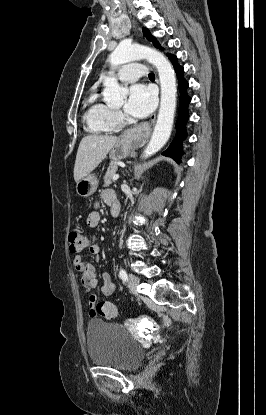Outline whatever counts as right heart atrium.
Listing matches in <instances>:
<instances>
[{
  "label": "right heart atrium",
  "instance_id": "obj_1",
  "mask_svg": "<svg viewBox=\"0 0 266 415\" xmlns=\"http://www.w3.org/2000/svg\"><path fill=\"white\" fill-rule=\"evenodd\" d=\"M108 117L113 127H117L123 119L122 113L117 109H110Z\"/></svg>",
  "mask_w": 266,
  "mask_h": 415
}]
</instances>
